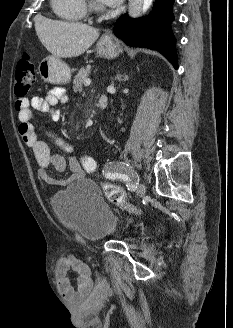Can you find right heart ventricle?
<instances>
[{"label": "right heart ventricle", "mask_w": 233, "mask_h": 328, "mask_svg": "<svg viewBox=\"0 0 233 328\" xmlns=\"http://www.w3.org/2000/svg\"><path fill=\"white\" fill-rule=\"evenodd\" d=\"M52 7L59 17L72 21L83 19L87 13L85 0H52Z\"/></svg>", "instance_id": "e07e8e85"}]
</instances>
